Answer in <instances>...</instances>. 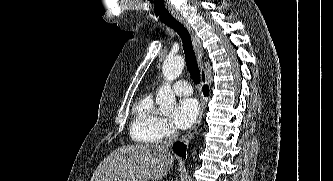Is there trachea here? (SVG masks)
Returning <instances> with one entry per match:
<instances>
[{
  "mask_svg": "<svg viewBox=\"0 0 333 181\" xmlns=\"http://www.w3.org/2000/svg\"><path fill=\"white\" fill-rule=\"evenodd\" d=\"M164 23L174 29L181 37L183 50L186 58V66L195 84L200 82V71L193 50L192 41L188 30L177 20L164 21Z\"/></svg>",
  "mask_w": 333,
  "mask_h": 181,
  "instance_id": "3493384b",
  "label": "trachea"
}]
</instances>
